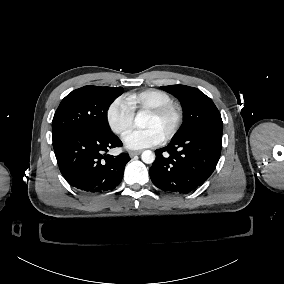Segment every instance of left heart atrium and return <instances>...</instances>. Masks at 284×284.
Instances as JSON below:
<instances>
[{
  "instance_id": "obj_1",
  "label": "left heart atrium",
  "mask_w": 284,
  "mask_h": 284,
  "mask_svg": "<svg viewBox=\"0 0 284 284\" xmlns=\"http://www.w3.org/2000/svg\"><path fill=\"white\" fill-rule=\"evenodd\" d=\"M162 139L163 137L153 128L130 129L122 137L124 146L131 150L158 145L162 142Z\"/></svg>"
}]
</instances>
